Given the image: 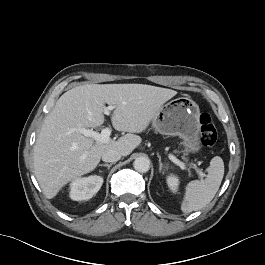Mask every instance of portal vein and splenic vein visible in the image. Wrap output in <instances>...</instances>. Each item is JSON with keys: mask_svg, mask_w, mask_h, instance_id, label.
I'll use <instances>...</instances> for the list:
<instances>
[{"mask_svg": "<svg viewBox=\"0 0 265 265\" xmlns=\"http://www.w3.org/2000/svg\"><path fill=\"white\" fill-rule=\"evenodd\" d=\"M114 109V106H108L106 108H104V114L109 115L110 112ZM78 131L80 133H82L84 136L86 137H91L93 138L95 141L100 142V143H106L110 140V134H111V128L106 127L104 129H102L101 133H98L96 131H93L92 129H86L83 127H79ZM169 159L175 163L176 165H178L181 169L183 170H189V168L186 167V164L182 161H180L179 159H177L174 155L169 154ZM194 168L196 169V171L199 173L201 179H203V177H205V173H203L199 168H197L194 165Z\"/></svg>", "mask_w": 265, "mask_h": 265, "instance_id": "1", "label": "portal vein and splenic vein"}]
</instances>
